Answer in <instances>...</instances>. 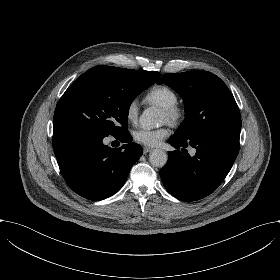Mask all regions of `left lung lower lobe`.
<instances>
[{"mask_svg":"<svg viewBox=\"0 0 280 280\" xmlns=\"http://www.w3.org/2000/svg\"><path fill=\"white\" fill-rule=\"evenodd\" d=\"M241 128L219 129L188 139L172 136L169 143L183 147L169 152L168 162L160 171L166 190L174 197L190 202L210 195L230 171L239 151ZM196 148L191 157L184 148Z\"/></svg>","mask_w":280,"mask_h":280,"instance_id":"left-lung-lower-lobe-1","label":"left lung lower lobe"}]
</instances>
